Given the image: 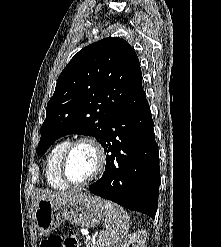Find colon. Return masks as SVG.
<instances>
[{"mask_svg":"<svg viewBox=\"0 0 221 247\" xmlns=\"http://www.w3.org/2000/svg\"><path fill=\"white\" fill-rule=\"evenodd\" d=\"M78 240L70 235L66 238L59 236L50 237L41 243V247H78Z\"/></svg>","mask_w":221,"mask_h":247,"instance_id":"obj_1","label":"colon"}]
</instances>
